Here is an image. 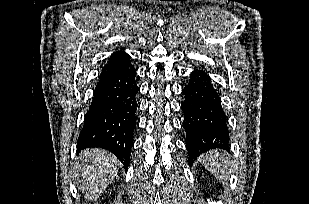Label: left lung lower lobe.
<instances>
[{
    "mask_svg": "<svg viewBox=\"0 0 309 204\" xmlns=\"http://www.w3.org/2000/svg\"><path fill=\"white\" fill-rule=\"evenodd\" d=\"M182 93L189 163L211 149L228 150L227 118L209 75L203 70L192 72Z\"/></svg>",
    "mask_w": 309,
    "mask_h": 204,
    "instance_id": "left-lung-lower-lobe-1",
    "label": "left lung lower lobe"
}]
</instances>
